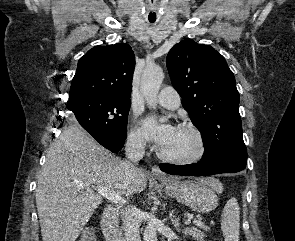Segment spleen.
Segmentation results:
<instances>
[{
  "mask_svg": "<svg viewBox=\"0 0 295 241\" xmlns=\"http://www.w3.org/2000/svg\"><path fill=\"white\" fill-rule=\"evenodd\" d=\"M240 211L236 198H231L224 206L221 229L225 241H239Z\"/></svg>",
  "mask_w": 295,
  "mask_h": 241,
  "instance_id": "1",
  "label": "spleen"
}]
</instances>
